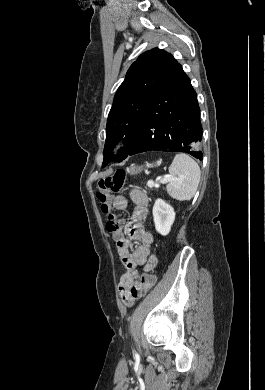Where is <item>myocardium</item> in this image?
I'll return each instance as SVG.
<instances>
[{
	"mask_svg": "<svg viewBox=\"0 0 265 390\" xmlns=\"http://www.w3.org/2000/svg\"><path fill=\"white\" fill-rule=\"evenodd\" d=\"M122 145L123 144H122L121 141L115 142L114 145H113V148H112L113 152L117 153L118 151H120V149L122 148Z\"/></svg>",
	"mask_w": 265,
	"mask_h": 390,
	"instance_id": "obj_1",
	"label": "myocardium"
}]
</instances>
